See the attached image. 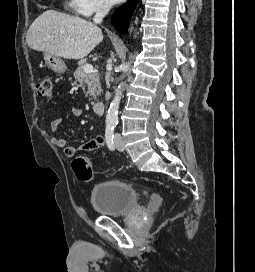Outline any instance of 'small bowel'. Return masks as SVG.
I'll use <instances>...</instances> for the list:
<instances>
[{
  "label": "small bowel",
  "mask_w": 255,
  "mask_h": 272,
  "mask_svg": "<svg viewBox=\"0 0 255 272\" xmlns=\"http://www.w3.org/2000/svg\"><path fill=\"white\" fill-rule=\"evenodd\" d=\"M72 114L75 117H81L83 115V111L78 107H73ZM62 122H63L62 117H56L55 119H53L51 121L50 130L54 134L51 138V142L54 146L62 149L64 154L67 157H73L77 153V148L73 145H69L64 138L57 135V132H58L59 127L61 126ZM104 144H105V140H104L103 136L98 135V136L82 143L79 148L82 151L88 152V151L97 150V149L103 147Z\"/></svg>",
  "instance_id": "c3829d8e"
}]
</instances>
